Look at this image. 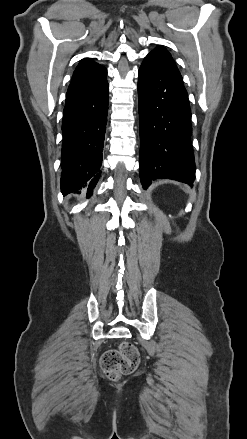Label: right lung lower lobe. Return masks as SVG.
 <instances>
[{
	"label": "right lung lower lobe",
	"mask_w": 247,
	"mask_h": 439,
	"mask_svg": "<svg viewBox=\"0 0 247 439\" xmlns=\"http://www.w3.org/2000/svg\"><path fill=\"white\" fill-rule=\"evenodd\" d=\"M109 85L66 96L62 123L63 195L88 186V195L100 177L107 123Z\"/></svg>",
	"instance_id": "1"
}]
</instances>
